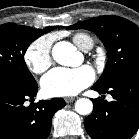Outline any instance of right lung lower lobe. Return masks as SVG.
I'll list each match as a JSON object with an SVG mask.
<instances>
[{
  "label": "right lung lower lobe",
  "mask_w": 139,
  "mask_h": 139,
  "mask_svg": "<svg viewBox=\"0 0 139 139\" xmlns=\"http://www.w3.org/2000/svg\"><path fill=\"white\" fill-rule=\"evenodd\" d=\"M37 83L23 86L0 79V139H47L54 113L66 105L62 98L34 101Z\"/></svg>",
  "instance_id": "98d812e1"
}]
</instances>
